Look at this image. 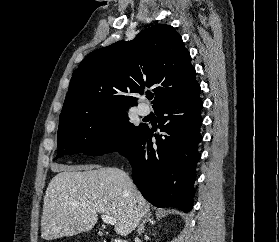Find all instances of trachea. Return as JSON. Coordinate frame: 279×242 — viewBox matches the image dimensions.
I'll use <instances>...</instances> for the list:
<instances>
[{"instance_id": "obj_1", "label": "trachea", "mask_w": 279, "mask_h": 242, "mask_svg": "<svg viewBox=\"0 0 279 242\" xmlns=\"http://www.w3.org/2000/svg\"><path fill=\"white\" fill-rule=\"evenodd\" d=\"M147 98L151 100L153 98V95H147Z\"/></svg>"}]
</instances>
